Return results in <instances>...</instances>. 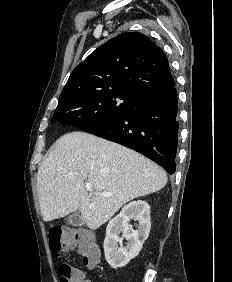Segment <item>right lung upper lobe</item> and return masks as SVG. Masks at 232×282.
Returning <instances> with one entry per match:
<instances>
[{"mask_svg": "<svg viewBox=\"0 0 232 282\" xmlns=\"http://www.w3.org/2000/svg\"><path fill=\"white\" fill-rule=\"evenodd\" d=\"M174 83L162 50L146 35L126 32L97 48L73 70L59 101L116 89L144 97Z\"/></svg>", "mask_w": 232, "mask_h": 282, "instance_id": "1", "label": "right lung upper lobe"}]
</instances>
